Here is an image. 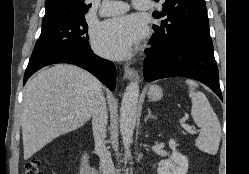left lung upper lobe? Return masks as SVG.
Returning <instances> with one entry per match:
<instances>
[{"label": "left lung upper lobe", "mask_w": 249, "mask_h": 174, "mask_svg": "<svg viewBox=\"0 0 249 174\" xmlns=\"http://www.w3.org/2000/svg\"><path fill=\"white\" fill-rule=\"evenodd\" d=\"M159 1V0H155ZM167 16L160 25H153L152 37L167 47H185L212 41L205 0H165L163 11L153 17Z\"/></svg>", "instance_id": "1"}]
</instances>
